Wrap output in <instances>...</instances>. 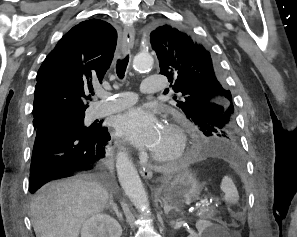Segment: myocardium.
<instances>
[{
	"instance_id": "f54148a6",
	"label": "myocardium",
	"mask_w": 297,
	"mask_h": 237,
	"mask_svg": "<svg viewBox=\"0 0 297 237\" xmlns=\"http://www.w3.org/2000/svg\"><path fill=\"white\" fill-rule=\"evenodd\" d=\"M165 127L175 139L176 146L167 154L152 152L150 157L158 164H168L181 159L186 154L188 148V137L180 120L168 122Z\"/></svg>"
}]
</instances>
